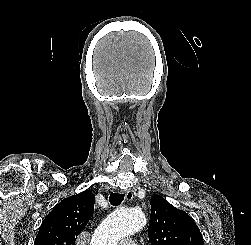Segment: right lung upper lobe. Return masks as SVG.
Instances as JSON below:
<instances>
[{"label": "right lung upper lobe", "mask_w": 251, "mask_h": 245, "mask_svg": "<svg viewBox=\"0 0 251 245\" xmlns=\"http://www.w3.org/2000/svg\"><path fill=\"white\" fill-rule=\"evenodd\" d=\"M94 202L89 190L62 200L43 220L34 245H75L93 216Z\"/></svg>", "instance_id": "1"}]
</instances>
